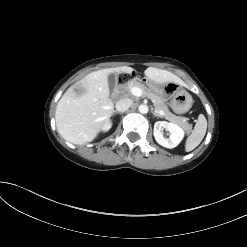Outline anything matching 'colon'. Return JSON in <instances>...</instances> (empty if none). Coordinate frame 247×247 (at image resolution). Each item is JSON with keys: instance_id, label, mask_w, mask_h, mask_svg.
I'll return each mask as SVG.
<instances>
[{"instance_id": "obj_1", "label": "colon", "mask_w": 247, "mask_h": 247, "mask_svg": "<svg viewBox=\"0 0 247 247\" xmlns=\"http://www.w3.org/2000/svg\"><path fill=\"white\" fill-rule=\"evenodd\" d=\"M128 75L127 74H120L118 80L120 83H125L128 80Z\"/></svg>"}]
</instances>
